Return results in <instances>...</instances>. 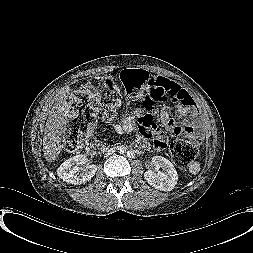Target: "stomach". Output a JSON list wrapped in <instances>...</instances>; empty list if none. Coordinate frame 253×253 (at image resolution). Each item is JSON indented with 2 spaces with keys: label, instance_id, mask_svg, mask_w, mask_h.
I'll return each instance as SVG.
<instances>
[{
  "label": "stomach",
  "instance_id": "obj_1",
  "mask_svg": "<svg viewBox=\"0 0 253 253\" xmlns=\"http://www.w3.org/2000/svg\"><path fill=\"white\" fill-rule=\"evenodd\" d=\"M106 85H107L108 87H110V88H113V87H114L109 79L106 80Z\"/></svg>",
  "mask_w": 253,
  "mask_h": 253
}]
</instances>
